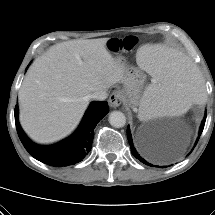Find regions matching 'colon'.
<instances>
[{
	"mask_svg": "<svg viewBox=\"0 0 215 215\" xmlns=\"http://www.w3.org/2000/svg\"><path fill=\"white\" fill-rule=\"evenodd\" d=\"M137 38L135 36H127L124 39L119 37H112L105 42V49L108 52H121L123 54H130L133 52Z\"/></svg>",
	"mask_w": 215,
	"mask_h": 215,
	"instance_id": "5ec220e1",
	"label": "colon"
}]
</instances>
